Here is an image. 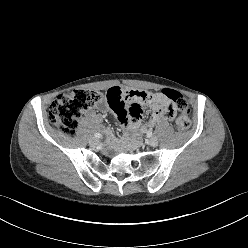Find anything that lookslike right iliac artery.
I'll return each mask as SVG.
<instances>
[{
	"label": "right iliac artery",
	"instance_id": "obj_1",
	"mask_svg": "<svg viewBox=\"0 0 248 248\" xmlns=\"http://www.w3.org/2000/svg\"><path fill=\"white\" fill-rule=\"evenodd\" d=\"M94 136L97 137V138H100L101 134L100 133H95Z\"/></svg>",
	"mask_w": 248,
	"mask_h": 248
}]
</instances>
